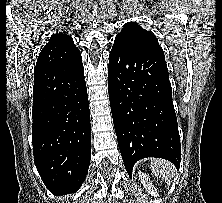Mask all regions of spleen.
<instances>
[{"label": "spleen", "mask_w": 222, "mask_h": 203, "mask_svg": "<svg viewBox=\"0 0 222 203\" xmlns=\"http://www.w3.org/2000/svg\"><path fill=\"white\" fill-rule=\"evenodd\" d=\"M150 168L156 177L162 178L168 185L173 183L177 175L175 166L164 159H151Z\"/></svg>", "instance_id": "1"}]
</instances>
